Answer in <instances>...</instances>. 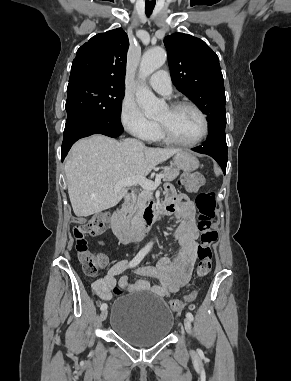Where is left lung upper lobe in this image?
<instances>
[{"mask_svg": "<svg viewBox=\"0 0 291 381\" xmlns=\"http://www.w3.org/2000/svg\"><path fill=\"white\" fill-rule=\"evenodd\" d=\"M164 44L173 84L207 117V140L225 139L226 98L218 56L204 41L188 34L166 36Z\"/></svg>", "mask_w": 291, "mask_h": 381, "instance_id": "5c2ea615", "label": "left lung upper lobe"}]
</instances>
